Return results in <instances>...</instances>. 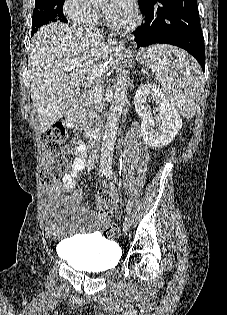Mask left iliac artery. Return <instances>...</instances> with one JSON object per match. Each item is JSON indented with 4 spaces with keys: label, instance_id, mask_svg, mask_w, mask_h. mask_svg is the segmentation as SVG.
<instances>
[{
    "label": "left iliac artery",
    "instance_id": "obj_1",
    "mask_svg": "<svg viewBox=\"0 0 227 315\" xmlns=\"http://www.w3.org/2000/svg\"><path fill=\"white\" fill-rule=\"evenodd\" d=\"M105 176H106V178L111 179L112 178V171L111 170H107L106 173H105ZM132 207H133V203L130 200H128L127 203H126L127 215L130 214Z\"/></svg>",
    "mask_w": 227,
    "mask_h": 315
}]
</instances>
